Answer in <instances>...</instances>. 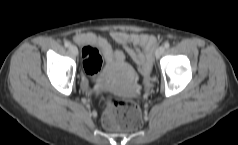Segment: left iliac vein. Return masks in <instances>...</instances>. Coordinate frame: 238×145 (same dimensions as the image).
<instances>
[{
    "instance_id": "4c4485c4",
    "label": "left iliac vein",
    "mask_w": 238,
    "mask_h": 145,
    "mask_svg": "<svg viewBox=\"0 0 238 145\" xmlns=\"http://www.w3.org/2000/svg\"><path fill=\"white\" fill-rule=\"evenodd\" d=\"M165 51L164 46H159L155 51V57L158 59Z\"/></svg>"
}]
</instances>
